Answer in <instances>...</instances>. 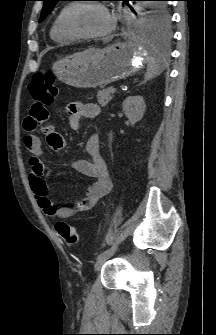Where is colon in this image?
Segmentation results:
<instances>
[{
    "instance_id": "obj_1",
    "label": "colon",
    "mask_w": 216,
    "mask_h": 335,
    "mask_svg": "<svg viewBox=\"0 0 216 335\" xmlns=\"http://www.w3.org/2000/svg\"><path fill=\"white\" fill-rule=\"evenodd\" d=\"M29 92L35 100V104H44L45 108H49L57 98V89L53 84L51 73H35L29 83ZM56 231L69 245H75L79 242L78 231L65 221H59L56 224Z\"/></svg>"
}]
</instances>
